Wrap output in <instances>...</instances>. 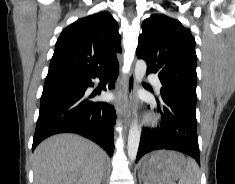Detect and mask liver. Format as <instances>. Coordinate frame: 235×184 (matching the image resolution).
<instances>
[{"mask_svg": "<svg viewBox=\"0 0 235 184\" xmlns=\"http://www.w3.org/2000/svg\"><path fill=\"white\" fill-rule=\"evenodd\" d=\"M105 152L76 134H57L33 154L34 184H101Z\"/></svg>", "mask_w": 235, "mask_h": 184, "instance_id": "1", "label": "liver"}]
</instances>
